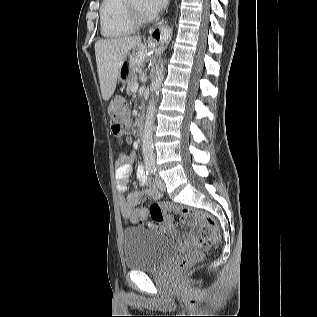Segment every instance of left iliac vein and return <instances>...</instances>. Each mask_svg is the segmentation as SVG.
I'll list each match as a JSON object with an SVG mask.
<instances>
[{
    "label": "left iliac vein",
    "mask_w": 317,
    "mask_h": 317,
    "mask_svg": "<svg viewBox=\"0 0 317 317\" xmlns=\"http://www.w3.org/2000/svg\"><path fill=\"white\" fill-rule=\"evenodd\" d=\"M156 185L161 191H165V183L160 176H156Z\"/></svg>",
    "instance_id": "1"
}]
</instances>
